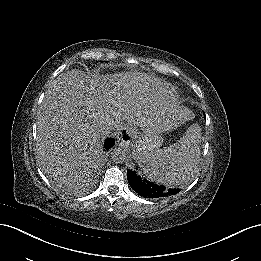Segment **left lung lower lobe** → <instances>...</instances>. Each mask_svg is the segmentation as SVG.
Returning <instances> with one entry per match:
<instances>
[{
  "instance_id": "obj_1",
  "label": "left lung lower lobe",
  "mask_w": 261,
  "mask_h": 261,
  "mask_svg": "<svg viewBox=\"0 0 261 261\" xmlns=\"http://www.w3.org/2000/svg\"><path fill=\"white\" fill-rule=\"evenodd\" d=\"M183 174L184 177H187L189 175V171L184 170ZM127 179L131 188L144 198L161 199L175 195L180 191L179 189H168L164 186L151 183L145 179L140 178L136 175L135 172L130 170L127 171Z\"/></svg>"
}]
</instances>
